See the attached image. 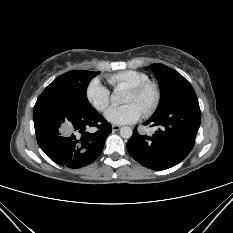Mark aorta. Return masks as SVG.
I'll return each mask as SVG.
<instances>
[{
  "label": "aorta",
  "instance_id": "762f6f07",
  "mask_svg": "<svg viewBox=\"0 0 233 233\" xmlns=\"http://www.w3.org/2000/svg\"><path fill=\"white\" fill-rule=\"evenodd\" d=\"M111 99L114 101H120L121 100V93L119 90H116L114 94L111 95ZM133 134V131L130 127L125 126L120 129V135L124 139H129Z\"/></svg>",
  "mask_w": 233,
  "mask_h": 233
}]
</instances>
